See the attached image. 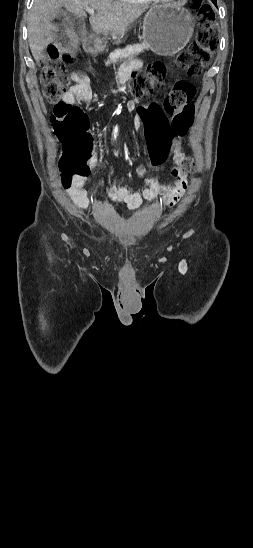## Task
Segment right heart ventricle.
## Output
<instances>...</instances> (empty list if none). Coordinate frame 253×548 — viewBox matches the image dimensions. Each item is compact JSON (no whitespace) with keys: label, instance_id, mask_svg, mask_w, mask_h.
I'll return each instance as SVG.
<instances>
[{"label":"right heart ventricle","instance_id":"1","mask_svg":"<svg viewBox=\"0 0 253 548\" xmlns=\"http://www.w3.org/2000/svg\"><path fill=\"white\" fill-rule=\"evenodd\" d=\"M118 1L126 4L142 5V4H149L152 0H118Z\"/></svg>","mask_w":253,"mask_h":548}]
</instances>
